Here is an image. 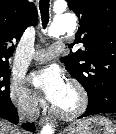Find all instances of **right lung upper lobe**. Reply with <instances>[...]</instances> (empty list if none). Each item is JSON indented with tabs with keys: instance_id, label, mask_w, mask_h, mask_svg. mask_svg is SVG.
I'll list each match as a JSON object with an SVG mask.
<instances>
[{
	"instance_id": "1",
	"label": "right lung upper lobe",
	"mask_w": 116,
	"mask_h": 134,
	"mask_svg": "<svg viewBox=\"0 0 116 134\" xmlns=\"http://www.w3.org/2000/svg\"><path fill=\"white\" fill-rule=\"evenodd\" d=\"M37 21V9L28 0H0V68L9 67L14 43Z\"/></svg>"
}]
</instances>
